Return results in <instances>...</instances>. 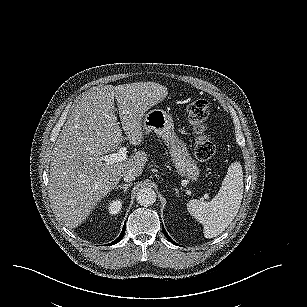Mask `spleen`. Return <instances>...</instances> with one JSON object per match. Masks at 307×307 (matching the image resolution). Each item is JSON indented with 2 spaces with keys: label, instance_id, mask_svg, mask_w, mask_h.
Wrapping results in <instances>:
<instances>
[{
  "label": "spleen",
  "instance_id": "spleen-1",
  "mask_svg": "<svg viewBox=\"0 0 307 307\" xmlns=\"http://www.w3.org/2000/svg\"><path fill=\"white\" fill-rule=\"evenodd\" d=\"M243 171L239 162L231 163L218 194L210 201L192 199L188 212L203 225L205 238L221 234L234 220L243 198Z\"/></svg>",
  "mask_w": 307,
  "mask_h": 307
}]
</instances>
